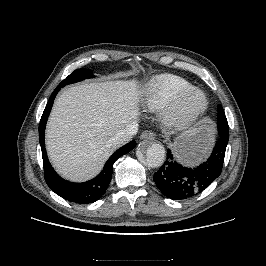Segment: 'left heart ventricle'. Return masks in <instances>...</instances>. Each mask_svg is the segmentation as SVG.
I'll return each instance as SVG.
<instances>
[{
	"label": "left heart ventricle",
	"mask_w": 266,
	"mask_h": 266,
	"mask_svg": "<svg viewBox=\"0 0 266 266\" xmlns=\"http://www.w3.org/2000/svg\"><path fill=\"white\" fill-rule=\"evenodd\" d=\"M201 104V99L197 95H191L186 100V105L189 108H195Z\"/></svg>",
	"instance_id": "left-heart-ventricle-1"
}]
</instances>
